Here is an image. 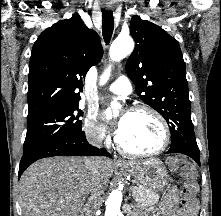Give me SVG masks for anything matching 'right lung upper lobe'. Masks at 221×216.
Listing matches in <instances>:
<instances>
[{
	"mask_svg": "<svg viewBox=\"0 0 221 216\" xmlns=\"http://www.w3.org/2000/svg\"><path fill=\"white\" fill-rule=\"evenodd\" d=\"M99 35L79 14L43 31L29 66L28 116L79 103L83 79L102 58Z\"/></svg>",
	"mask_w": 221,
	"mask_h": 216,
	"instance_id": "right-lung-upper-lobe-1",
	"label": "right lung upper lobe"
}]
</instances>
